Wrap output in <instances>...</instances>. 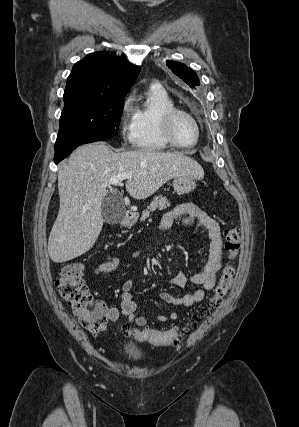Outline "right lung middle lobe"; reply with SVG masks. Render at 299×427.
I'll use <instances>...</instances> for the list:
<instances>
[{
    "label": "right lung middle lobe",
    "mask_w": 299,
    "mask_h": 427,
    "mask_svg": "<svg viewBox=\"0 0 299 427\" xmlns=\"http://www.w3.org/2000/svg\"><path fill=\"white\" fill-rule=\"evenodd\" d=\"M124 97L84 95L64 100L55 149L77 141L113 137L119 126Z\"/></svg>",
    "instance_id": "dd1d6c3e"
}]
</instances>
